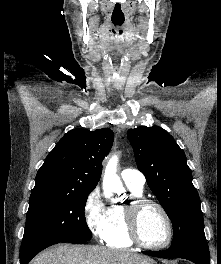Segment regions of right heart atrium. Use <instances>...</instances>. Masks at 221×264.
I'll return each mask as SVG.
<instances>
[{
	"label": "right heart atrium",
	"mask_w": 221,
	"mask_h": 264,
	"mask_svg": "<svg viewBox=\"0 0 221 264\" xmlns=\"http://www.w3.org/2000/svg\"><path fill=\"white\" fill-rule=\"evenodd\" d=\"M83 217L91 234L97 239H103L108 226L109 208L104 204L98 188L87 195L83 205Z\"/></svg>",
	"instance_id": "d8ad5b80"
}]
</instances>
